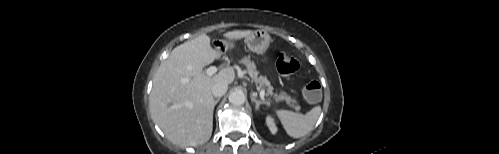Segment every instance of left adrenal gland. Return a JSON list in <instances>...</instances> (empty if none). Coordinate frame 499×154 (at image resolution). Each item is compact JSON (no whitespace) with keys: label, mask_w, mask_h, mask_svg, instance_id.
<instances>
[{"label":"left adrenal gland","mask_w":499,"mask_h":154,"mask_svg":"<svg viewBox=\"0 0 499 154\" xmlns=\"http://www.w3.org/2000/svg\"><path fill=\"white\" fill-rule=\"evenodd\" d=\"M250 97H251V101H252V102H255V104H256V107H255V108H256V110H259V106H260V105H269V103H268V102H266V101H260V100H257V99H256V96H254L253 94H251V95H250Z\"/></svg>","instance_id":"1"}]
</instances>
